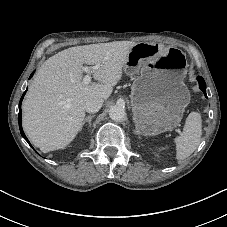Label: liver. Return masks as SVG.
Masks as SVG:
<instances>
[{
	"label": "liver",
	"mask_w": 227,
	"mask_h": 227,
	"mask_svg": "<svg viewBox=\"0 0 227 227\" xmlns=\"http://www.w3.org/2000/svg\"><path fill=\"white\" fill-rule=\"evenodd\" d=\"M135 44L114 41L76 46L47 59L23 103V128L33 145L47 153L71 143L82 129L86 101L109 98ZM83 64L99 65L91 70L97 83L83 84Z\"/></svg>",
	"instance_id": "liver-1"
}]
</instances>
